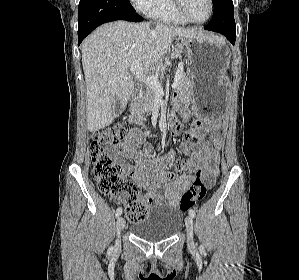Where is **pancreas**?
Here are the masks:
<instances>
[{
  "label": "pancreas",
  "mask_w": 299,
  "mask_h": 280,
  "mask_svg": "<svg viewBox=\"0 0 299 280\" xmlns=\"http://www.w3.org/2000/svg\"><path fill=\"white\" fill-rule=\"evenodd\" d=\"M191 82L186 74H182L178 87L183 92H189ZM158 99L157 94L151 87H147L146 90L139 94L132 103L131 114L135 123L143 125L145 118L144 114L149 113Z\"/></svg>",
  "instance_id": "cf45deb5"
}]
</instances>
